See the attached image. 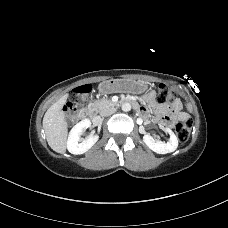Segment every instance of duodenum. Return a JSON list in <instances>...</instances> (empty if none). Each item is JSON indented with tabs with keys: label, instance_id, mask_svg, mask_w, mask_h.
Returning <instances> with one entry per match:
<instances>
[{
	"label": "duodenum",
	"instance_id": "duodenum-1",
	"mask_svg": "<svg viewBox=\"0 0 228 228\" xmlns=\"http://www.w3.org/2000/svg\"><path fill=\"white\" fill-rule=\"evenodd\" d=\"M111 104H115V105L131 104L132 106H134L136 108L138 107L136 101L130 100V99H126V100H123L121 102H116V103H111ZM79 117L82 120H92L93 119L92 109H84L83 111L80 112Z\"/></svg>",
	"mask_w": 228,
	"mask_h": 228
}]
</instances>
